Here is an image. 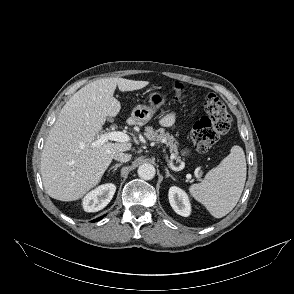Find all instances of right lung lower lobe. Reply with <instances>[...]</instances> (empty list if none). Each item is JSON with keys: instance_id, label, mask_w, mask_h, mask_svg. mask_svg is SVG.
Masks as SVG:
<instances>
[{"instance_id": "obj_1", "label": "right lung lower lobe", "mask_w": 294, "mask_h": 294, "mask_svg": "<svg viewBox=\"0 0 294 294\" xmlns=\"http://www.w3.org/2000/svg\"><path fill=\"white\" fill-rule=\"evenodd\" d=\"M100 219H102V217H99V218L93 220V222H96V221H98V220H100Z\"/></svg>"}]
</instances>
